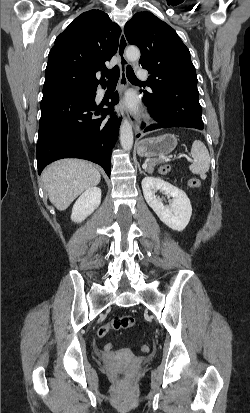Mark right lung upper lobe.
I'll return each mask as SVG.
<instances>
[{
    "label": "right lung upper lobe",
    "mask_w": 250,
    "mask_h": 413,
    "mask_svg": "<svg viewBox=\"0 0 250 413\" xmlns=\"http://www.w3.org/2000/svg\"><path fill=\"white\" fill-rule=\"evenodd\" d=\"M121 29L100 10L78 16L55 40L49 52L43 97L60 92L93 90L106 80L96 73L106 69L118 50Z\"/></svg>",
    "instance_id": "1"
}]
</instances>
